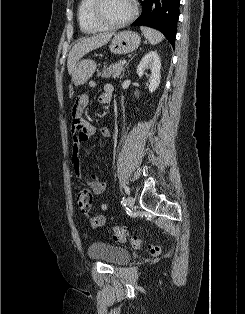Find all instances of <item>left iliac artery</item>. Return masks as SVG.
<instances>
[{"instance_id":"1","label":"left iliac artery","mask_w":245,"mask_h":314,"mask_svg":"<svg viewBox=\"0 0 245 314\" xmlns=\"http://www.w3.org/2000/svg\"><path fill=\"white\" fill-rule=\"evenodd\" d=\"M124 190H125V192H126L127 194H130V188H129L128 186H124ZM124 201H125V200H124V197H123L121 203L123 204Z\"/></svg>"}]
</instances>
